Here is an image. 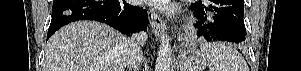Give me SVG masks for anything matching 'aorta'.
<instances>
[{
	"label": "aorta",
	"instance_id": "762f6f07",
	"mask_svg": "<svg viewBox=\"0 0 301 71\" xmlns=\"http://www.w3.org/2000/svg\"><path fill=\"white\" fill-rule=\"evenodd\" d=\"M171 45L168 34H163L159 46L155 71H170Z\"/></svg>",
	"mask_w": 301,
	"mask_h": 71
}]
</instances>
